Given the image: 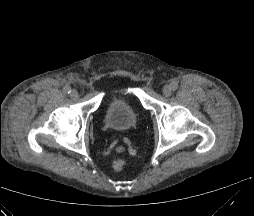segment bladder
<instances>
[{
  "mask_svg": "<svg viewBox=\"0 0 254 216\" xmlns=\"http://www.w3.org/2000/svg\"><path fill=\"white\" fill-rule=\"evenodd\" d=\"M137 108L134 100L126 95L107 94L104 121L119 132L130 129L137 120Z\"/></svg>",
  "mask_w": 254,
  "mask_h": 216,
  "instance_id": "1",
  "label": "bladder"
}]
</instances>
